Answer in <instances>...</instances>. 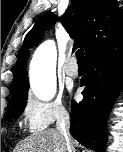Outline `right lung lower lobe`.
Wrapping results in <instances>:
<instances>
[{"instance_id": "right-lung-lower-lobe-1", "label": "right lung lower lobe", "mask_w": 123, "mask_h": 152, "mask_svg": "<svg viewBox=\"0 0 123 152\" xmlns=\"http://www.w3.org/2000/svg\"><path fill=\"white\" fill-rule=\"evenodd\" d=\"M83 100L72 101L71 135L87 148L105 152L106 121L123 85V33L87 58Z\"/></svg>"}]
</instances>
